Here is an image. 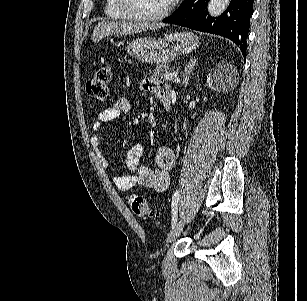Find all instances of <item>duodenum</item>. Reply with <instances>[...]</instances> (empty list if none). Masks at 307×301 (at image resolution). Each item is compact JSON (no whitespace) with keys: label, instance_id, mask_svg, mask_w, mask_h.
Wrapping results in <instances>:
<instances>
[{"label":"duodenum","instance_id":"obj_1","mask_svg":"<svg viewBox=\"0 0 307 301\" xmlns=\"http://www.w3.org/2000/svg\"><path fill=\"white\" fill-rule=\"evenodd\" d=\"M160 100L163 104V106L169 110L171 108V103H172V94L170 91L166 92L165 94L161 95Z\"/></svg>","mask_w":307,"mask_h":301}]
</instances>
